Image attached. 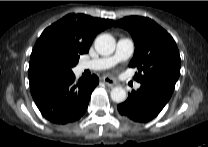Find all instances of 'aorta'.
<instances>
[{"mask_svg": "<svg viewBox=\"0 0 208 147\" xmlns=\"http://www.w3.org/2000/svg\"><path fill=\"white\" fill-rule=\"evenodd\" d=\"M95 49L100 55H110L114 52L116 41L110 34H101L95 39ZM111 99L116 103L124 102L127 93L122 87H115L110 93Z\"/></svg>", "mask_w": 208, "mask_h": 147, "instance_id": "762f6f07", "label": "aorta"}]
</instances>
